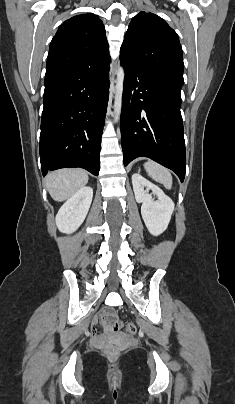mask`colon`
I'll return each mask as SVG.
<instances>
[{
  "mask_svg": "<svg viewBox=\"0 0 235 404\" xmlns=\"http://www.w3.org/2000/svg\"><path fill=\"white\" fill-rule=\"evenodd\" d=\"M104 317L108 318V327L110 331H117L122 327V323L117 320L112 309H104ZM124 329L128 334H134L136 332V326L131 322L125 324Z\"/></svg>",
  "mask_w": 235,
  "mask_h": 404,
  "instance_id": "colon-1",
  "label": "colon"
}]
</instances>
